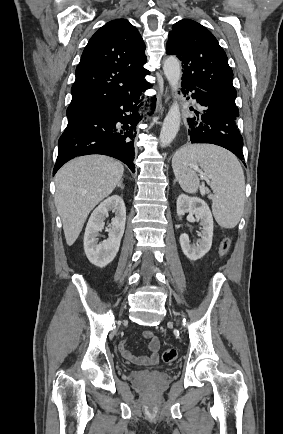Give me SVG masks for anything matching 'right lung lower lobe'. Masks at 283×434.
Wrapping results in <instances>:
<instances>
[{"mask_svg":"<svg viewBox=\"0 0 283 434\" xmlns=\"http://www.w3.org/2000/svg\"><path fill=\"white\" fill-rule=\"evenodd\" d=\"M150 87L145 80L127 95L97 108L68 118L59 139V151L53 175L67 161L88 154H103L124 162L135 172L133 142L141 120V92ZM156 98L151 104L155 109Z\"/></svg>","mask_w":283,"mask_h":434,"instance_id":"98d812e1","label":"right lung lower lobe"}]
</instances>
